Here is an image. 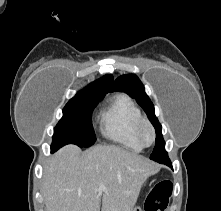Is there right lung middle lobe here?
Returning <instances> with one entry per match:
<instances>
[{
	"label": "right lung middle lobe",
	"instance_id": "right-lung-middle-lobe-1",
	"mask_svg": "<svg viewBox=\"0 0 221 211\" xmlns=\"http://www.w3.org/2000/svg\"><path fill=\"white\" fill-rule=\"evenodd\" d=\"M103 97H79L66 104L63 117L54 128L52 151L66 144L87 148L95 143L96 136L92 127L91 114Z\"/></svg>",
	"mask_w": 221,
	"mask_h": 211
}]
</instances>
